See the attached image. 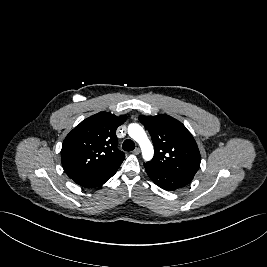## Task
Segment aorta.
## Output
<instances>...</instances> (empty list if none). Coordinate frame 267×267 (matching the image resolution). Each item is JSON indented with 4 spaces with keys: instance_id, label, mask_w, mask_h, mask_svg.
Masks as SVG:
<instances>
[{
    "instance_id": "aorta-1",
    "label": "aorta",
    "mask_w": 267,
    "mask_h": 267,
    "mask_svg": "<svg viewBox=\"0 0 267 267\" xmlns=\"http://www.w3.org/2000/svg\"><path fill=\"white\" fill-rule=\"evenodd\" d=\"M128 134L140 145L144 160H151L154 155V149L144 129L139 124L132 123L128 126Z\"/></svg>"
}]
</instances>
